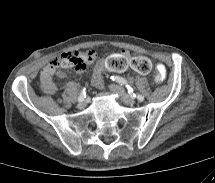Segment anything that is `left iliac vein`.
Wrapping results in <instances>:
<instances>
[{
	"mask_svg": "<svg viewBox=\"0 0 215 183\" xmlns=\"http://www.w3.org/2000/svg\"><path fill=\"white\" fill-rule=\"evenodd\" d=\"M109 89L118 94L121 98V100L128 105H133L135 103V99L131 96H129L126 91L119 85L111 84L109 85Z\"/></svg>",
	"mask_w": 215,
	"mask_h": 183,
	"instance_id": "obj_1",
	"label": "left iliac vein"
}]
</instances>
